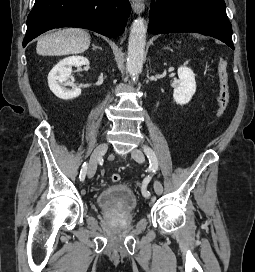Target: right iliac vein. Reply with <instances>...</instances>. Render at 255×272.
Returning a JSON list of instances; mask_svg holds the SVG:
<instances>
[{
	"mask_svg": "<svg viewBox=\"0 0 255 272\" xmlns=\"http://www.w3.org/2000/svg\"><path fill=\"white\" fill-rule=\"evenodd\" d=\"M107 149H108V144L101 143L93 151L91 158H90L89 167H88V177L89 178H92L95 175L98 161L106 153Z\"/></svg>",
	"mask_w": 255,
	"mask_h": 272,
	"instance_id": "1",
	"label": "right iliac vein"
}]
</instances>
